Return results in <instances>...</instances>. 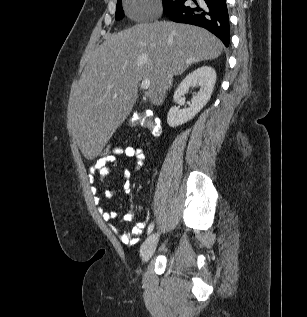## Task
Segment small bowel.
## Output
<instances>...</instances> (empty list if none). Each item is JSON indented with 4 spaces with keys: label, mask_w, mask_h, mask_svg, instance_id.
I'll list each match as a JSON object with an SVG mask.
<instances>
[{
    "label": "small bowel",
    "mask_w": 307,
    "mask_h": 317,
    "mask_svg": "<svg viewBox=\"0 0 307 317\" xmlns=\"http://www.w3.org/2000/svg\"><path fill=\"white\" fill-rule=\"evenodd\" d=\"M117 156H125L135 160L137 169L141 168L145 155L139 147L127 145L124 147H119L116 151V155L108 161H103L97 159L93 165V174L97 175L99 179H104L108 176L117 166ZM131 172H124V181L122 183V190L130 196L131 199ZM114 194V191L109 190L105 193L107 197H111ZM99 197H95V202L99 203ZM102 218L105 221L114 220L118 217V213L115 211H101ZM125 222H131L134 219V213L132 210H129L123 217ZM145 227V223H137L130 232H120L119 239L127 245H134L137 243V235Z\"/></svg>",
    "instance_id": "obj_1"
}]
</instances>
